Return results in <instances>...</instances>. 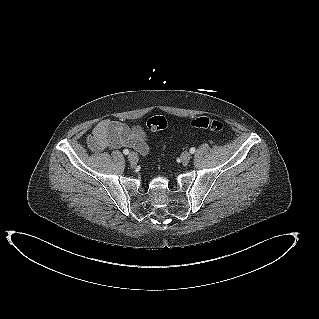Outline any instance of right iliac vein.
I'll use <instances>...</instances> for the list:
<instances>
[{"label": "right iliac vein", "mask_w": 319, "mask_h": 319, "mask_svg": "<svg viewBox=\"0 0 319 319\" xmlns=\"http://www.w3.org/2000/svg\"><path fill=\"white\" fill-rule=\"evenodd\" d=\"M128 159H129V161H130L131 163H137V161H138V156H137L136 153L131 152V153H129V155H128Z\"/></svg>", "instance_id": "1"}]
</instances>
